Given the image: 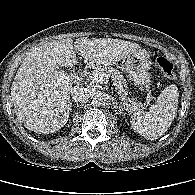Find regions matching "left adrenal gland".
Segmentation results:
<instances>
[{
  "mask_svg": "<svg viewBox=\"0 0 195 195\" xmlns=\"http://www.w3.org/2000/svg\"><path fill=\"white\" fill-rule=\"evenodd\" d=\"M113 105H114V108H118L120 112L123 111V109H121V106L120 105L118 106L117 101H113Z\"/></svg>",
  "mask_w": 195,
  "mask_h": 195,
  "instance_id": "1",
  "label": "left adrenal gland"
}]
</instances>
